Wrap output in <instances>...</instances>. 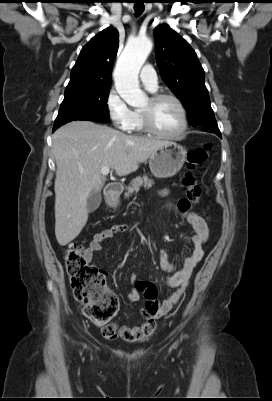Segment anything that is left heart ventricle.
<instances>
[{"label":"left heart ventricle","instance_id":"1","mask_svg":"<svg viewBox=\"0 0 272 401\" xmlns=\"http://www.w3.org/2000/svg\"><path fill=\"white\" fill-rule=\"evenodd\" d=\"M141 109L151 110L154 126L163 133H176L182 126L181 112L173 100L163 99L151 104L148 99Z\"/></svg>","mask_w":272,"mask_h":401}]
</instances>
